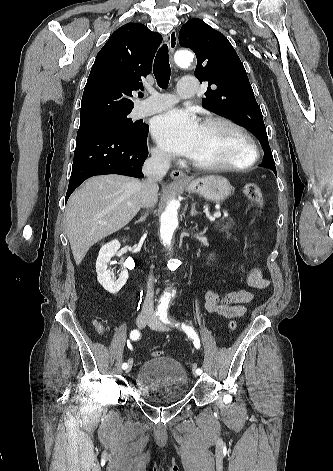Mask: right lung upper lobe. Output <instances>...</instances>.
Returning a JSON list of instances; mask_svg holds the SVG:
<instances>
[{
	"instance_id": "1",
	"label": "right lung upper lobe",
	"mask_w": 333,
	"mask_h": 471,
	"mask_svg": "<svg viewBox=\"0 0 333 471\" xmlns=\"http://www.w3.org/2000/svg\"><path fill=\"white\" fill-rule=\"evenodd\" d=\"M161 41L159 33L140 23L117 29L96 56L83 92L80 120L131 111L132 91L143 90Z\"/></svg>"
}]
</instances>
